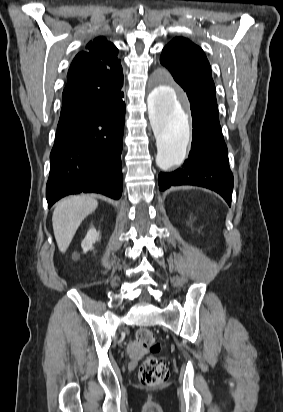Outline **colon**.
Returning a JSON list of instances; mask_svg holds the SVG:
<instances>
[{
	"mask_svg": "<svg viewBox=\"0 0 283 412\" xmlns=\"http://www.w3.org/2000/svg\"><path fill=\"white\" fill-rule=\"evenodd\" d=\"M137 342L155 353L160 349V343L149 329H140L136 334ZM169 377L168 364L160 357L146 356L139 367V379L144 386L155 387L163 384Z\"/></svg>",
	"mask_w": 283,
	"mask_h": 412,
	"instance_id": "colon-1",
	"label": "colon"
}]
</instances>
